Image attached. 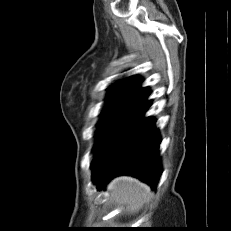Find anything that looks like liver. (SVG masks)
Returning <instances> with one entry per match:
<instances>
[{
  "label": "liver",
  "mask_w": 231,
  "mask_h": 231,
  "mask_svg": "<svg viewBox=\"0 0 231 231\" xmlns=\"http://www.w3.org/2000/svg\"><path fill=\"white\" fill-rule=\"evenodd\" d=\"M110 200L121 207L126 214L138 213L151 196L148 185L136 178L121 176L113 179L107 186Z\"/></svg>",
  "instance_id": "liver-1"
}]
</instances>
